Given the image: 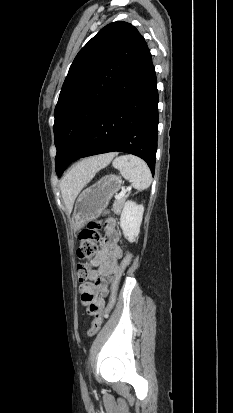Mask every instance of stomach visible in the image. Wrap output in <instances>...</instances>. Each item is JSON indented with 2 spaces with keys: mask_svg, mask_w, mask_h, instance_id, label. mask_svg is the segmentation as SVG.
<instances>
[{
  "mask_svg": "<svg viewBox=\"0 0 233 413\" xmlns=\"http://www.w3.org/2000/svg\"><path fill=\"white\" fill-rule=\"evenodd\" d=\"M121 184L122 180L118 176L108 175L83 190L76 201L71 218L74 230H79L87 222L98 218L108 206L112 196L118 192Z\"/></svg>",
  "mask_w": 233,
  "mask_h": 413,
  "instance_id": "stomach-1",
  "label": "stomach"
}]
</instances>
